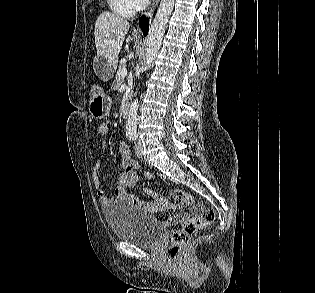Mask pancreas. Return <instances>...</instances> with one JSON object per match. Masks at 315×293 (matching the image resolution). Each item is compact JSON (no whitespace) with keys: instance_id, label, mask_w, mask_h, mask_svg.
I'll use <instances>...</instances> for the list:
<instances>
[{"instance_id":"obj_1","label":"pancreas","mask_w":315,"mask_h":293,"mask_svg":"<svg viewBox=\"0 0 315 293\" xmlns=\"http://www.w3.org/2000/svg\"><path fill=\"white\" fill-rule=\"evenodd\" d=\"M123 67H125V64L124 63H120L119 67H118V70H117V74H116V83H115L116 87H119L122 84V82H123V77L121 75V70H122Z\"/></svg>"}]
</instances>
